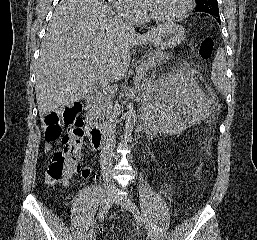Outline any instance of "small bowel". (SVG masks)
Wrapping results in <instances>:
<instances>
[{"mask_svg": "<svg viewBox=\"0 0 257 240\" xmlns=\"http://www.w3.org/2000/svg\"><path fill=\"white\" fill-rule=\"evenodd\" d=\"M54 147V142L52 141H47L46 144H45V151L46 152H49L50 150H52V148ZM88 174V170H86V173L83 175L84 177H86Z\"/></svg>", "mask_w": 257, "mask_h": 240, "instance_id": "obj_1", "label": "small bowel"}]
</instances>
